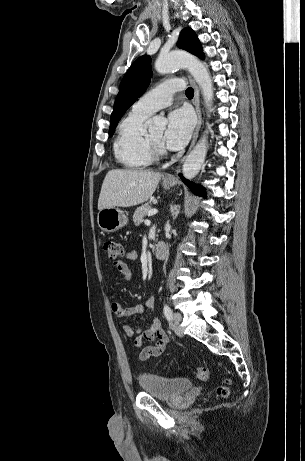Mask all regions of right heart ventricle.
I'll return each mask as SVG.
<instances>
[{
	"label": "right heart ventricle",
	"mask_w": 305,
	"mask_h": 461,
	"mask_svg": "<svg viewBox=\"0 0 305 461\" xmlns=\"http://www.w3.org/2000/svg\"><path fill=\"white\" fill-rule=\"evenodd\" d=\"M147 117L132 109L119 124L113 149L116 159L126 168L143 169L154 161L146 140Z\"/></svg>",
	"instance_id": "obj_1"
}]
</instances>
